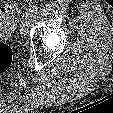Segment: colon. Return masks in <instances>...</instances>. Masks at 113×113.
Returning a JSON list of instances; mask_svg holds the SVG:
<instances>
[{
  "instance_id": "5ec220e1",
  "label": "colon",
  "mask_w": 113,
  "mask_h": 113,
  "mask_svg": "<svg viewBox=\"0 0 113 113\" xmlns=\"http://www.w3.org/2000/svg\"><path fill=\"white\" fill-rule=\"evenodd\" d=\"M19 11L17 4L12 1H4L0 5V13L3 15H15ZM13 61V50L11 46L0 41V73L9 69Z\"/></svg>"
}]
</instances>
